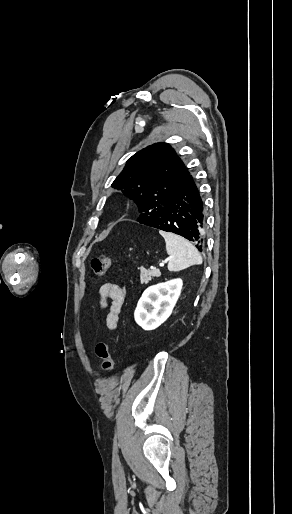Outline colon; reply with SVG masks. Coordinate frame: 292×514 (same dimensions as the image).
I'll list each match as a JSON object with an SVG mask.
<instances>
[{"mask_svg":"<svg viewBox=\"0 0 292 514\" xmlns=\"http://www.w3.org/2000/svg\"><path fill=\"white\" fill-rule=\"evenodd\" d=\"M113 263V258L108 254H103L100 257L93 258L90 264V275L92 279H99L102 277ZM96 356L100 361L101 368L108 372L113 373L115 364L111 355L110 341L104 339L96 344Z\"/></svg>","mask_w":292,"mask_h":514,"instance_id":"colon-1","label":"colon"}]
</instances>
